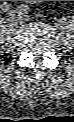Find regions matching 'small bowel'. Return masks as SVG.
I'll return each mask as SVG.
<instances>
[{"label": "small bowel", "instance_id": "obj_1", "mask_svg": "<svg viewBox=\"0 0 74 122\" xmlns=\"http://www.w3.org/2000/svg\"><path fill=\"white\" fill-rule=\"evenodd\" d=\"M27 2H30V3H39V2H42V1H27Z\"/></svg>", "mask_w": 74, "mask_h": 122}]
</instances>
